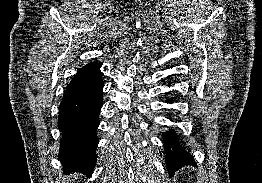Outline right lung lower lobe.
Returning a JSON list of instances; mask_svg holds the SVG:
<instances>
[{"label":"right lung lower lobe","mask_w":262,"mask_h":183,"mask_svg":"<svg viewBox=\"0 0 262 183\" xmlns=\"http://www.w3.org/2000/svg\"><path fill=\"white\" fill-rule=\"evenodd\" d=\"M100 64L80 68L67 86L59 106L58 128L62 130L59 159L65 172L91 175L96 164L99 111L104 83Z\"/></svg>","instance_id":"1"}]
</instances>
